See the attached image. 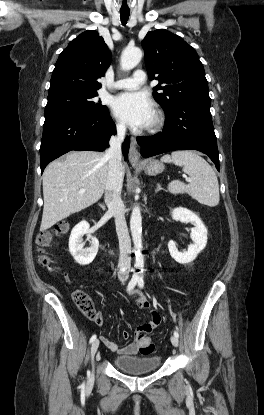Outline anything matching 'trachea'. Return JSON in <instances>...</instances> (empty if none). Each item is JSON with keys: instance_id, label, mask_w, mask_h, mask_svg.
<instances>
[{"instance_id": "3493384b", "label": "trachea", "mask_w": 264, "mask_h": 415, "mask_svg": "<svg viewBox=\"0 0 264 415\" xmlns=\"http://www.w3.org/2000/svg\"><path fill=\"white\" fill-rule=\"evenodd\" d=\"M129 15H130V13H129V12H125V13L120 12L121 23H122L123 25H125V24L127 23L128 18H129Z\"/></svg>"}]
</instances>
